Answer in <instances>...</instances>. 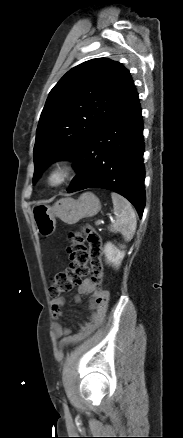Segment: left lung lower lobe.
<instances>
[{"mask_svg": "<svg viewBox=\"0 0 183 438\" xmlns=\"http://www.w3.org/2000/svg\"><path fill=\"white\" fill-rule=\"evenodd\" d=\"M143 123L135 87L86 139L73 159L77 172L67 191L103 188L128 199L142 216L145 206Z\"/></svg>", "mask_w": 183, "mask_h": 438, "instance_id": "0a47b994", "label": "left lung lower lobe"}]
</instances>
